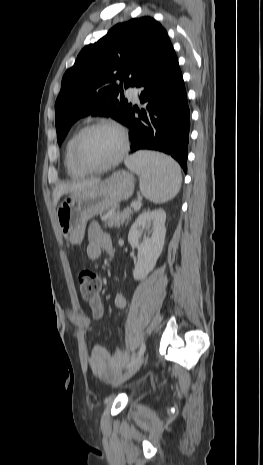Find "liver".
I'll use <instances>...</instances> for the list:
<instances>
[{
    "mask_svg": "<svg viewBox=\"0 0 263 465\" xmlns=\"http://www.w3.org/2000/svg\"><path fill=\"white\" fill-rule=\"evenodd\" d=\"M100 179H89L81 182L61 184L57 186L53 192L54 204L57 205L60 198L64 194L73 193L87 189L95 184H98Z\"/></svg>",
    "mask_w": 263,
    "mask_h": 465,
    "instance_id": "1",
    "label": "liver"
}]
</instances>
